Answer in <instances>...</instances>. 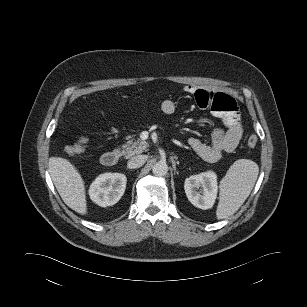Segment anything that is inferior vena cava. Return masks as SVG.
<instances>
[{
  "instance_id": "obj_1",
  "label": "inferior vena cava",
  "mask_w": 307,
  "mask_h": 307,
  "mask_svg": "<svg viewBox=\"0 0 307 307\" xmlns=\"http://www.w3.org/2000/svg\"><path fill=\"white\" fill-rule=\"evenodd\" d=\"M145 162H146V156L137 155L128 160L127 166L130 169H135L143 166Z\"/></svg>"
}]
</instances>
